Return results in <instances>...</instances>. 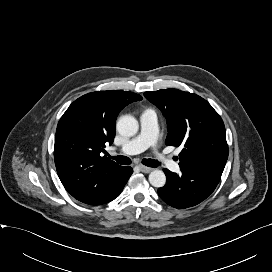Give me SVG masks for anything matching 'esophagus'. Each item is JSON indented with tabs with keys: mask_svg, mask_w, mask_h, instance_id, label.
I'll use <instances>...</instances> for the list:
<instances>
[{
	"mask_svg": "<svg viewBox=\"0 0 272 272\" xmlns=\"http://www.w3.org/2000/svg\"><path fill=\"white\" fill-rule=\"evenodd\" d=\"M139 168L143 173H149V172H151L153 170V168L146 167L144 165H139Z\"/></svg>",
	"mask_w": 272,
	"mask_h": 272,
	"instance_id": "1",
	"label": "esophagus"
}]
</instances>
